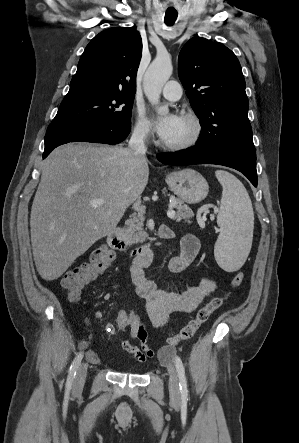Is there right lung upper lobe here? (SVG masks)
I'll use <instances>...</instances> for the list:
<instances>
[{"label":"right lung upper lobe","instance_id":"obj_1","mask_svg":"<svg viewBox=\"0 0 299 443\" xmlns=\"http://www.w3.org/2000/svg\"><path fill=\"white\" fill-rule=\"evenodd\" d=\"M142 40L133 28H109L96 35L80 57L70 88L136 93Z\"/></svg>","mask_w":299,"mask_h":443}]
</instances>
